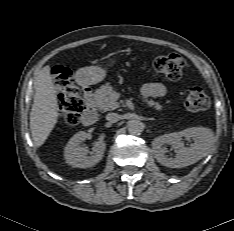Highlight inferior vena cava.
Wrapping results in <instances>:
<instances>
[{
	"label": "inferior vena cava",
	"instance_id": "602c4592",
	"mask_svg": "<svg viewBox=\"0 0 234 231\" xmlns=\"http://www.w3.org/2000/svg\"><path fill=\"white\" fill-rule=\"evenodd\" d=\"M120 118H121L120 115L117 113H108L106 115V120H108L109 122H112V123L119 121Z\"/></svg>",
	"mask_w": 234,
	"mask_h": 231
}]
</instances>
